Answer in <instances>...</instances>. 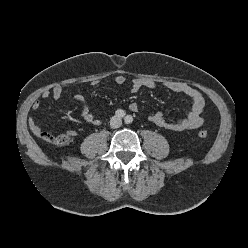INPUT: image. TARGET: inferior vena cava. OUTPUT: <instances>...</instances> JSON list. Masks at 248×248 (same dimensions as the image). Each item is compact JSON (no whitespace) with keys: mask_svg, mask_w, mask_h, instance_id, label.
<instances>
[{"mask_svg":"<svg viewBox=\"0 0 248 248\" xmlns=\"http://www.w3.org/2000/svg\"><path fill=\"white\" fill-rule=\"evenodd\" d=\"M122 125V120L118 117L113 116L110 120V126L112 128H119Z\"/></svg>","mask_w":248,"mask_h":248,"instance_id":"1","label":"inferior vena cava"}]
</instances>
